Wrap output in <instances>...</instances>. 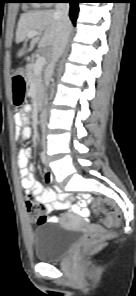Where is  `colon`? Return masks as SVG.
Segmentation results:
<instances>
[{"label":"colon","mask_w":136,"mask_h":296,"mask_svg":"<svg viewBox=\"0 0 136 296\" xmlns=\"http://www.w3.org/2000/svg\"><path fill=\"white\" fill-rule=\"evenodd\" d=\"M15 78H17L15 73ZM94 209L105 214V223L108 226L117 225L121 220V213L116 205L108 198L98 197L92 202ZM25 210L30 217H32L37 224H44L47 222L44 206L32 197H28L25 201ZM101 240L99 235H90L80 246L79 251L82 253L90 252L97 243Z\"/></svg>","instance_id":"obj_1"}]
</instances>
